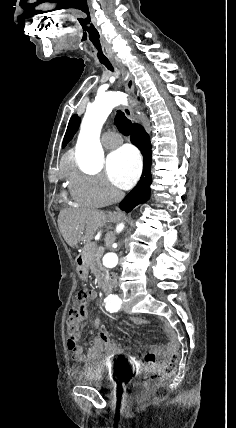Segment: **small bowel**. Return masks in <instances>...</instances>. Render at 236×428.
Here are the masks:
<instances>
[{
	"mask_svg": "<svg viewBox=\"0 0 236 428\" xmlns=\"http://www.w3.org/2000/svg\"><path fill=\"white\" fill-rule=\"evenodd\" d=\"M135 324H142L145 321L141 318L134 317L131 319ZM93 324L95 327H98L99 322L95 318L93 320ZM159 325L165 331L168 344L167 345H157L153 346L148 353L144 356V363L139 361L135 356L127 354V352L118 347L109 337L106 330L101 329L94 339L92 346L88 350L87 357H85L79 348H71L73 351V358L77 362H82L86 359L91 361H99L103 359L110 360L114 357H126L127 362L136 368H141L145 366L146 368H156L160 366L165 358L168 356L171 349L176 345L175 339V331L173 327L170 325L169 321L165 319H161L159 321Z\"/></svg>",
	"mask_w": 236,
	"mask_h": 428,
	"instance_id": "1",
	"label": "small bowel"
}]
</instances>
